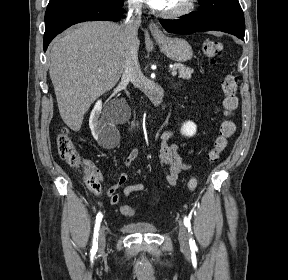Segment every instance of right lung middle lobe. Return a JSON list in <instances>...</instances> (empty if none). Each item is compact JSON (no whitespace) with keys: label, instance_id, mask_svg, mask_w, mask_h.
<instances>
[{"label":"right lung middle lobe","instance_id":"1","mask_svg":"<svg viewBox=\"0 0 288 280\" xmlns=\"http://www.w3.org/2000/svg\"><path fill=\"white\" fill-rule=\"evenodd\" d=\"M57 0H50L49 3H53V2H56ZM106 1H109L113 4H117V5H123L124 4V0H106Z\"/></svg>","mask_w":288,"mask_h":280}]
</instances>
